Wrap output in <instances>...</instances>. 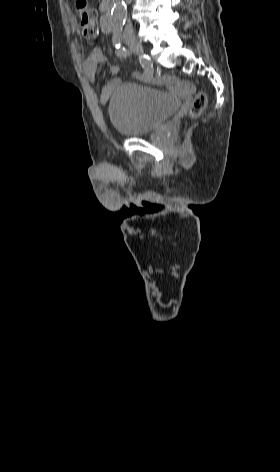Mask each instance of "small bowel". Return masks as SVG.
I'll return each instance as SVG.
<instances>
[{
  "label": "small bowel",
  "instance_id": "1",
  "mask_svg": "<svg viewBox=\"0 0 280 472\" xmlns=\"http://www.w3.org/2000/svg\"><path fill=\"white\" fill-rule=\"evenodd\" d=\"M105 62L106 57L99 48H95L91 51V53L84 62L85 72L91 83L96 84L100 81L98 74V66ZM119 70L120 68L118 65H112L110 67V71L113 74L118 73ZM155 82L164 87L169 88L173 93L176 94L186 95L191 93L193 90L190 84L180 81L176 77L171 75H162L158 77ZM118 84L119 80L117 79H104L102 81V89L100 95L101 104L105 105L108 102L112 92Z\"/></svg>",
  "mask_w": 280,
  "mask_h": 472
}]
</instances>
